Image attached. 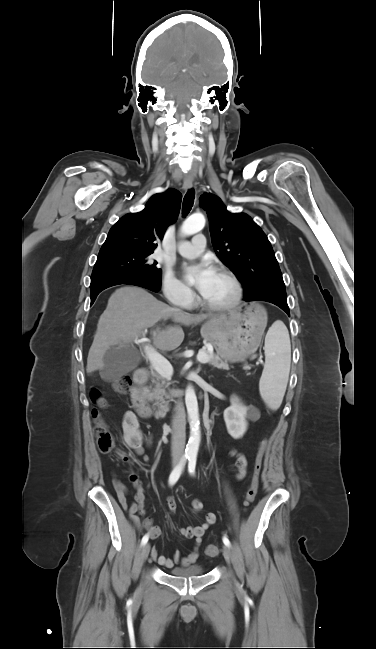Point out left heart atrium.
<instances>
[{"label":"left heart atrium","instance_id":"39dd6f15","mask_svg":"<svg viewBox=\"0 0 376 649\" xmlns=\"http://www.w3.org/2000/svg\"><path fill=\"white\" fill-rule=\"evenodd\" d=\"M184 273L186 277L194 281L195 286L202 294L208 288L215 275L214 269L207 260L184 265Z\"/></svg>","mask_w":376,"mask_h":649}]
</instances>
